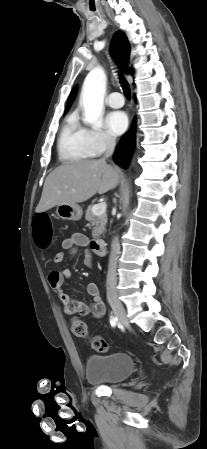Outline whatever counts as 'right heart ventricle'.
Listing matches in <instances>:
<instances>
[{
	"label": "right heart ventricle",
	"instance_id": "e07e8e85",
	"mask_svg": "<svg viewBox=\"0 0 207 449\" xmlns=\"http://www.w3.org/2000/svg\"><path fill=\"white\" fill-rule=\"evenodd\" d=\"M58 156L62 162H74L94 156L86 137V130L75 113L70 114L58 138Z\"/></svg>",
	"mask_w": 207,
	"mask_h": 449
}]
</instances>
